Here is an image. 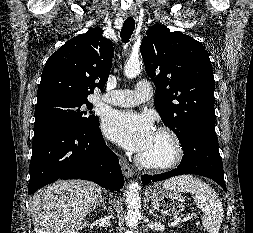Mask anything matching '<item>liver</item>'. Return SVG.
<instances>
[{
    "label": "liver",
    "mask_w": 253,
    "mask_h": 233,
    "mask_svg": "<svg viewBox=\"0 0 253 233\" xmlns=\"http://www.w3.org/2000/svg\"><path fill=\"white\" fill-rule=\"evenodd\" d=\"M101 196V187L85 180H59L31 200L35 233H79L84 218Z\"/></svg>",
    "instance_id": "obj_1"
}]
</instances>
